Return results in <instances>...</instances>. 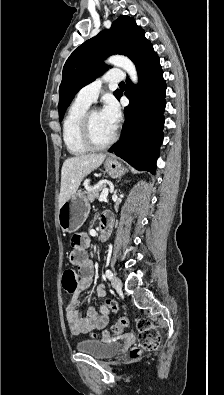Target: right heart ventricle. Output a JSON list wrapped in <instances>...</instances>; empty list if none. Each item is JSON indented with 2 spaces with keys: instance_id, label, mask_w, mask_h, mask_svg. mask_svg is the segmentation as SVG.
I'll list each match as a JSON object with an SVG mask.
<instances>
[{
  "instance_id": "right-heart-ventricle-1",
  "label": "right heart ventricle",
  "mask_w": 224,
  "mask_h": 395,
  "mask_svg": "<svg viewBox=\"0 0 224 395\" xmlns=\"http://www.w3.org/2000/svg\"><path fill=\"white\" fill-rule=\"evenodd\" d=\"M89 105L76 98L69 107L63 121L64 143L69 153L74 156H81L89 150L83 143L80 134L81 119L88 110Z\"/></svg>"
}]
</instances>
